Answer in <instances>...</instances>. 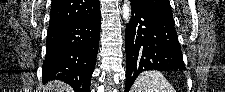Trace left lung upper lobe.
Here are the masks:
<instances>
[{
    "label": "left lung upper lobe",
    "mask_w": 225,
    "mask_h": 92,
    "mask_svg": "<svg viewBox=\"0 0 225 92\" xmlns=\"http://www.w3.org/2000/svg\"><path fill=\"white\" fill-rule=\"evenodd\" d=\"M130 1L133 5L143 7L151 12L173 17L169 0H130Z\"/></svg>",
    "instance_id": "1"
}]
</instances>
